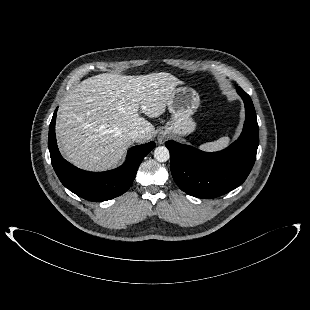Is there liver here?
<instances>
[{
	"mask_svg": "<svg viewBox=\"0 0 310 310\" xmlns=\"http://www.w3.org/2000/svg\"><path fill=\"white\" fill-rule=\"evenodd\" d=\"M181 80L166 72L125 76L103 73L83 80L64 98L57 115L59 147L75 166L102 171L116 166L138 130L142 143L155 128L139 112L156 118Z\"/></svg>",
	"mask_w": 310,
	"mask_h": 310,
	"instance_id": "obj_1",
	"label": "liver"
}]
</instances>
